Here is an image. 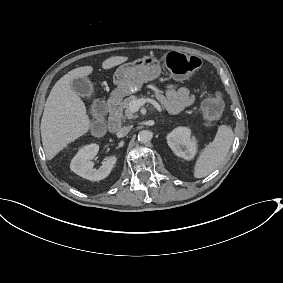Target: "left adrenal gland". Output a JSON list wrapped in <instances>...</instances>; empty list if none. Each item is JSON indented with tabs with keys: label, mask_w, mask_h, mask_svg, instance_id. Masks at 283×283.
Masks as SVG:
<instances>
[{
	"label": "left adrenal gland",
	"mask_w": 283,
	"mask_h": 283,
	"mask_svg": "<svg viewBox=\"0 0 283 283\" xmlns=\"http://www.w3.org/2000/svg\"><path fill=\"white\" fill-rule=\"evenodd\" d=\"M165 120L163 119V120H160L159 122H164Z\"/></svg>",
	"instance_id": "left-adrenal-gland-1"
}]
</instances>
